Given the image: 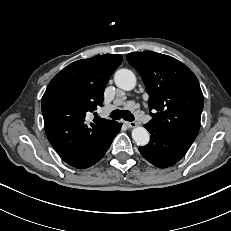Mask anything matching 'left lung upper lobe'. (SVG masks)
<instances>
[{"label": "left lung upper lobe", "mask_w": 231, "mask_h": 231, "mask_svg": "<svg viewBox=\"0 0 231 231\" xmlns=\"http://www.w3.org/2000/svg\"><path fill=\"white\" fill-rule=\"evenodd\" d=\"M127 60L141 75L154 110L147 125L191 146L203 110V94L194 73L177 59L152 51L129 53Z\"/></svg>", "instance_id": "1"}]
</instances>
